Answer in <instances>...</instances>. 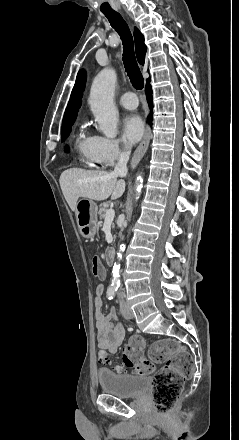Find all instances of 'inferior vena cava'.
Listing matches in <instances>:
<instances>
[{"mask_svg": "<svg viewBox=\"0 0 239 440\" xmlns=\"http://www.w3.org/2000/svg\"><path fill=\"white\" fill-rule=\"evenodd\" d=\"M123 144L124 146L122 152H116L117 164L114 168V174H116V176H120V178H125V176L128 174L127 162L131 154V144H129L127 140H123ZM117 299H126V296H117ZM120 307H129V304L121 302Z\"/></svg>", "mask_w": 239, "mask_h": 440, "instance_id": "602c4592", "label": "inferior vena cava"}]
</instances>
